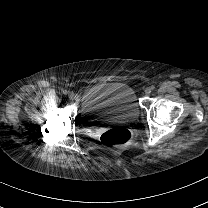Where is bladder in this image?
<instances>
[{"instance_id": "31cf9c89", "label": "bladder", "mask_w": 208, "mask_h": 208, "mask_svg": "<svg viewBox=\"0 0 208 208\" xmlns=\"http://www.w3.org/2000/svg\"><path fill=\"white\" fill-rule=\"evenodd\" d=\"M81 104L83 121H131L139 114V106L132 89L120 83L97 84L88 88L83 94Z\"/></svg>"}]
</instances>
